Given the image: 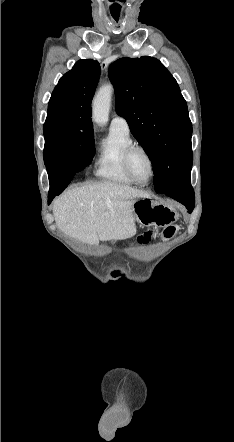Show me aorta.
<instances>
[{
  "label": "aorta",
  "mask_w": 234,
  "mask_h": 442,
  "mask_svg": "<svg viewBox=\"0 0 234 442\" xmlns=\"http://www.w3.org/2000/svg\"><path fill=\"white\" fill-rule=\"evenodd\" d=\"M113 87L103 86L93 99V120L99 125H105L108 121Z\"/></svg>",
  "instance_id": "aorta-1"
}]
</instances>
